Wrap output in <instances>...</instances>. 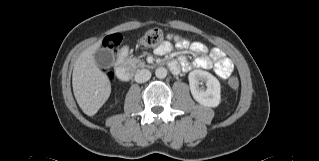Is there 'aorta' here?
Here are the masks:
<instances>
[{
	"mask_svg": "<svg viewBox=\"0 0 319 161\" xmlns=\"http://www.w3.org/2000/svg\"><path fill=\"white\" fill-rule=\"evenodd\" d=\"M155 75L159 79H163L167 76V70L164 67H159L155 70Z\"/></svg>",
	"mask_w": 319,
	"mask_h": 161,
	"instance_id": "1",
	"label": "aorta"
}]
</instances>
